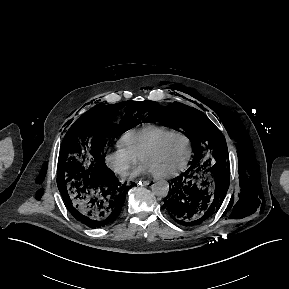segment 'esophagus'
<instances>
[{
    "label": "esophagus",
    "instance_id": "esophagus-1",
    "mask_svg": "<svg viewBox=\"0 0 289 289\" xmlns=\"http://www.w3.org/2000/svg\"><path fill=\"white\" fill-rule=\"evenodd\" d=\"M136 183L139 184V185L147 186V185L150 184V181H148V180H140V181H137Z\"/></svg>",
    "mask_w": 289,
    "mask_h": 289
}]
</instances>
